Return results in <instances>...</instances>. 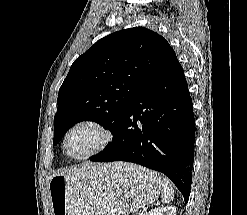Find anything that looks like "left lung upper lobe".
<instances>
[{
  "instance_id": "5c2ea615",
  "label": "left lung upper lobe",
  "mask_w": 247,
  "mask_h": 215,
  "mask_svg": "<svg viewBox=\"0 0 247 215\" xmlns=\"http://www.w3.org/2000/svg\"><path fill=\"white\" fill-rule=\"evenodd\" d=\"M169 47L161 35L142 27L97 41L74 61L59 89L53 144L85 120L95 121L113 134L139 87Z\"/></svg>"
}]
</instances>
